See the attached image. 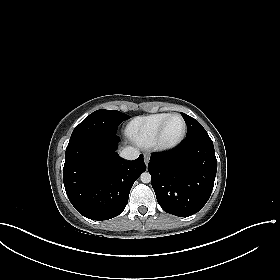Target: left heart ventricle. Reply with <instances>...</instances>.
Listing matches in <instances>:
<instances>
[{
    "instance_id": "1",
    "label": "left heart ventricle",
    "mask_w": 280,
    "mask_h": 280,
    "mask_svg": "<svg viewBox=\"0 0 280 280\" xmlns=\"http://www.w3.org/2000/svg\"><path fill=\"white\" fill-rule=\"evenodd\" d=\"M182 130H183L182 120L179 117L171 118L165 128L163 140L169 142L176 139L177 137H179Z\"/></svg>"
}]
</instances>
